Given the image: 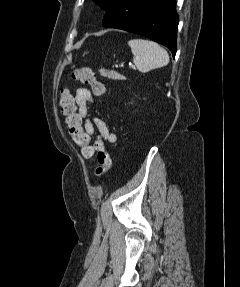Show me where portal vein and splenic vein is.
Returning a JSON list of instances; mask_svg holds the SVG:
<instances>
[{"instance_id": "obj_1", "label": "portal vein and splenic vein", "mask_w": 240, "mask_h": 287, "mask_svg": "<svg viewBox=\"0 0 240 287\" xmlns=\"http://www.w3.org/2000/svg\"><path fill=\"white\" fill-rule=\"evenodd\" d=\"M130 68L135 69V66H134V65H131Z\"/></svg>"}]
</instances>
